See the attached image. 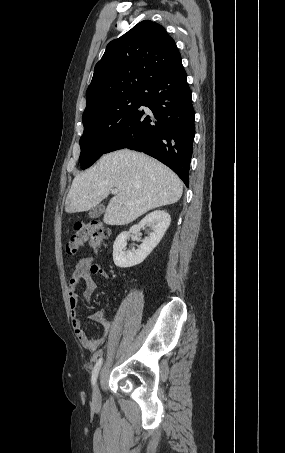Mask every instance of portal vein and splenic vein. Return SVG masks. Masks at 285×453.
Instances as JSON below:
<instances>
[{
  "label": "portal vein and splenic vein",
  "mask_w": 285,
  "mask_h": 453,
  "mask_svg": "<svg viewBox=\"0 0 285 453\" xmlns=\"http://www.w3.org/2000/svg\"><path fill=\"white\" fill-rule=\"evenodd\" d=\"M112 194H117L118 190L116 188L111 189Z\"/></svg>",
  "instance_id": "portal-vein-and-splenic-vein-1"
}]
</instances>
